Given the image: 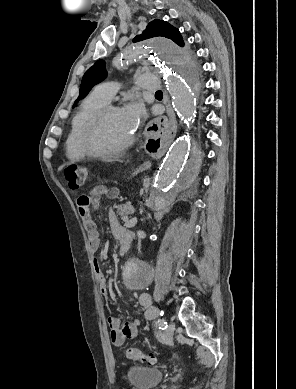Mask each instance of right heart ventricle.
Returning a JSON list of instances; mask_svg holds the SVG:
<instances>
[{"instance_id":"e07e8e85","label":"right heart ventricle","mask_w":296,"mask_h":389,"mask_svg":"<svg viewBox=\"0 0 296 389\" xmlns=\"http://www.w3.org/2000/svg\"><path fill=\"white\" fill-rule=\"evenodd\" d=\"M106 104L94 93H91L82 102L80 109L72 120L65 142L66 155L70 160L81 161L87 157L82 145L85 128L92 116Z\"/></svg>"}]
</instances>
